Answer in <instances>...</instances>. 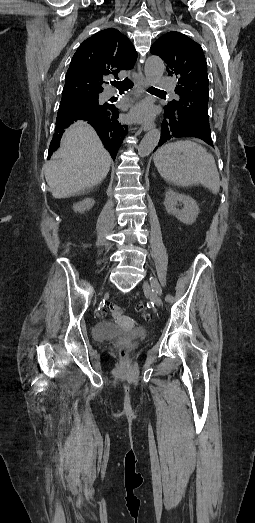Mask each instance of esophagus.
I'll list each match as a JSON object with an SVG mask.
<instances>
[{
    "label": "esophagus",
    "mask_w": 255,
    "mask_h": 523,
    "mask_svg": "<svg viewBox=\"0 0 255 523\" xmlns=\"http://www.w3.org/2000/svg\"><path fill=\"white\" fill-rule=\"evenodd\" d=\"M137 84L139 85L140 87V90L141 92L143 93L145 90L144 88L146 87H149L148 85V82L146 80V78L144 77L143 75V72H142V67L140 64H137V73L135 74L134 76ZM139 112L140 110L138 108L134 109L132 111V115L134 116L135 120L140 122V119H139ZM154 124L153 123H144L143 124V130L144 131H148V130H151V128H153Z\"/></svg>",
    "instance_id": "34e87169"
}]
</instances>
